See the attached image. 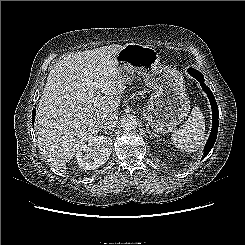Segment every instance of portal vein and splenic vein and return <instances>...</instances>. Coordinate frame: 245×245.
Wrapping results in <instances>:
<instances>
[{"label": "portal vein and splenic vein", "instance_id": "obj_1", "mask_svg": "<svg viewBox=\"0 0 245 245\" xmlns=\"http://www.w3.org/2000/svg\"><path fill=\"white\" fill-rule=\"evenodd\" d=\"M85 75H86V74H85ZM83 80L86 81L87 83H89V80H88V79L85 78V79H83Z\"/></svg>", "mask_w": 245, "mask_h": 245}]
</instances>
